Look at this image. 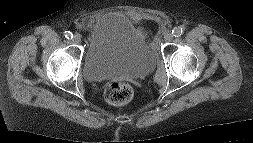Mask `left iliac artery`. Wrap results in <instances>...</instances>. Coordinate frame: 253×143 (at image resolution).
Here are the masks:
<instances>
[{
    "label": "left iliac artery",
    "instance_id": "44dca946",
    "mask_svg": "<svg viewBox=\"0 0 253 143\" xmlns=\"http://www.w3.org/2000/svg\"><path fill=\"white\" fill-rule=\"evenodd\" d=\"M183 30H184V29H183L182 27H176V28H174V29L172 30V34H173V36H175V37H179V36L182 35Z\"/></svg>",
    "mask_w": 253,
    "mask_h": 143
}]
</instances>
